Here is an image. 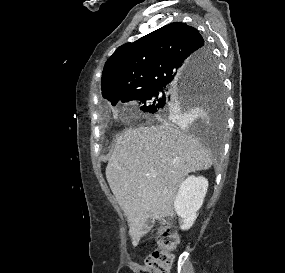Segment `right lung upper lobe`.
Returning a JSON list of instances; mask_svg holds the SVG:
<instances>
[{"label": "right lung upper lobe", "mask_w": 285, "mask_h": 273, "mask_svg": "<svg viewBox=\"0 0 285 273\" xmlns=\"http://www.w3.org/2000/svg\"><path fill=\"white\" fill-rule=\"evenodd\" d=\"M207 51L194 27L165 25L113 53L102 73V95L113 105L159 85H174L187 75L192 78Z\"/></svg>", "instance_id": "obj_1"}]
</instances>
